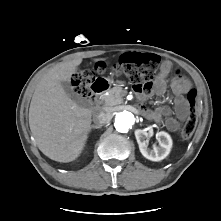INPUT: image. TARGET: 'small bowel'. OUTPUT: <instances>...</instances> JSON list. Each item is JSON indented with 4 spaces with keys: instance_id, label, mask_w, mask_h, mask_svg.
Segmentation results:
<instances>
[{
    "instance_id": "1",
    "label": "small bowel",
    "mask_w": 221,
    "mask_h": 221,
    "mask_svg": "<svg viewBox=\"0 0 221 221\" xmlns=\"http://www.w3.org/2000/svg\"><path fill=\"white\" fill-rule=\"evenodd\" d=\"M144 53L127 52L121 56V61L128 60L131 56H136ZM172 71V64L164 60L160 65V72L155 81L154 87L150 92H144L142 89H136L140 99H145L148 95L156 93L162 95L165 92L166 79ZM172 88L177 93L178 98L175 100L174 113L176 117L171 116V109L167 106H158L153 110L143 108L144 113L156 122L162 121L165 118V126L168 130L177 131L182 122L185 121L188 115V106L182 93L190 88V82L181 70H176L172 80Z\"/></svg>"
}]
</instances>
